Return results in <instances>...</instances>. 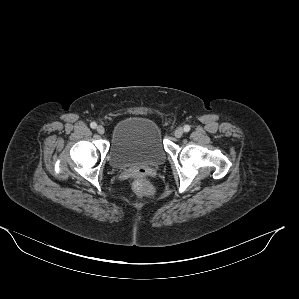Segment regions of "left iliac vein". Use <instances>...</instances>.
<instances>
[{"label":"left iliac vein","mask_w":299,"mask_h":299,"mask_svg":"<svg viewBox=\"0 0 299 299\" xmlns=\"http://www.w3.org/2000/svg\"><path fill=\"white\" fill-rule=\"evenodd\" d=\"M184 131L182 128H177L174 132L175 137L180 138L183 135Z\"/></svg>","instance_id":"4c4485c4"}]
</instances>
